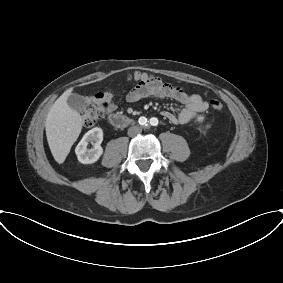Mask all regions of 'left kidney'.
Masks as SVG:
<instances>
[{
    "mask_svg": "<svg viewBox=\"0 0 283 283\" xmlns=\"http://www.w3.org/2000/svg\"><path fill=\"white\" fill-rule=\"evenodd\" d=\"M203 120H204L203 116L200 115V116L197 117V121L202 122Z\"/></svg>",
    "mask_w": 283,
    "mask_h": 283,
    "instance_id": "left-kidney-1",
    "label": "left kidney"
}]
</instances>
